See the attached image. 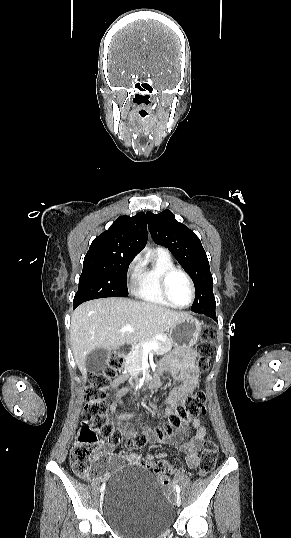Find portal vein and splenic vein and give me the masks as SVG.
Instances as JSON below:
<instances>
[{
    "label": "portal vein and splenic vein",
    "instance_id": "1",
    "mask_svg": "<svg viewBox=\"0 0 291 538\" xmlns=\"http://www.w3.org/2000/svg\"><path fill=\"white\" fill-rule=\"evenodd\" d=\"M126 331H132V326L130 324H126L125 326H123L122 329H120V332H126ZM158 347H159L158 344L155 342L143 344L144 351L155 350V349H158Z\"/></svg>",
    "mask_w": 291,
    "mask_h": 538
}]
</instances>
